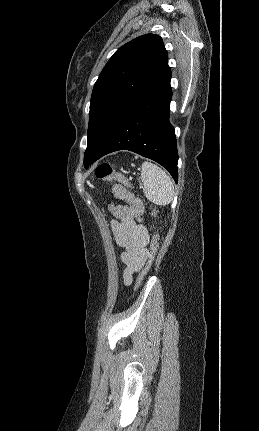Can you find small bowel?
I'll return each mask as SVG.
<instances>
[{
  "instance_id": "c3829d8e",
  "label": "small bowel",
  "mask_w": 259,
  "mask_h": 431,
  "mask_svg": "<svg viewBox=\"0 0 259 431\" xmlns=\"http://www.w3.org/2000/svg\"><path fill=\"white\" fill-rule=\"evenodd\" d=\"M134 220H113L111 223L116 243L124 250L121 253L123 283L130 285L136 274L148 259L149 233L145 225Z\"/></svg>"
}]
</instances>
